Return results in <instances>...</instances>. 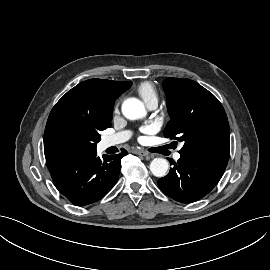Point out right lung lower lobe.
Masks as SVG:
<instances>
[{"instance_id": "98d812e1", "label": "right lung lower lobe", "mask_w": 270, "mask_h": 270, "mask_svg": "<svg viewBox=\"0 0 270 270\" xmlns=\"http://www.w3.org/2000/svg\"><path fill=\"white\" fill-rule=\"evenodd\" d=\"M97 157L96 150L82 155L53 156L47 167L59 192L71 203L84 206L100 200L116 183L121 159L127 155Z\"/></svg>"}]
</instances>
